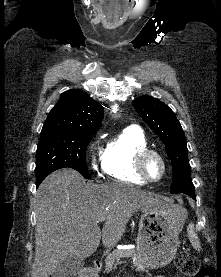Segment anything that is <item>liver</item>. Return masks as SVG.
Listing matches in <instances>:
<instances>
[{"label": "liver", "mask_w": 221, "mask_h": 277, "mask_svg": "<svg viewBox=\"0 0 221 277\" xmlns=\"http://www.w3.org/2000/svg\"><path fill=\"white\" fill-rule=\"evenodd\" d=\"M159 197L139 188L110 183H86L75 170L51 173L36 193L35 259L31 277H49L68 257L87 258L102 237L115 246L138 210L165 208ZM105 217L101 230L97 221Z\"/></svg>", "instance_id": "1"}]
</instances>
